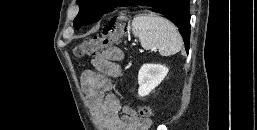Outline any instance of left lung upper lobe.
<instances>
[{
	"instance_id": "obj_1",
	"label": "left lung upper lobe",
	"mask_w": 257,
	"mask_h": 130,
	"mask_svg": "<svg viewBox=\"0 0 257 130\" xmlns=\"http://www.w3.org/2000/svg\"><path fill=\"white\" fill-rule=\"evenodd\" d=\"M134 2L135 0H77L80 11L74 20V27L79 29L81 26L96 22L111 9L126 3L135 4Z\"/></svg>"
}]
</instances>
